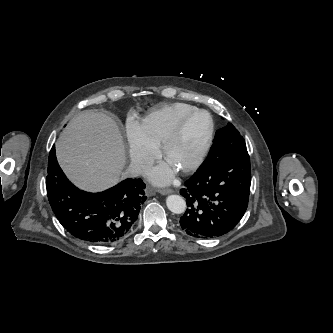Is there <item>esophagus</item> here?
<instances>
[{"instance_id":"1","label":"esophagus","mask_w":333,"mask_h":333,"mask_svg":"<svg viewBox=\"0 0 333 333\" xmlns=\"http://www.w3.org/2000/svg\"><path fill=\"white\" fill-rule=\"evenodd\" d=\"M158 192L162 195H167V194L173 193V190L166 188V189H159ZM149 194L153 195V192H150Z\"/></svg>"}]
</instances>
